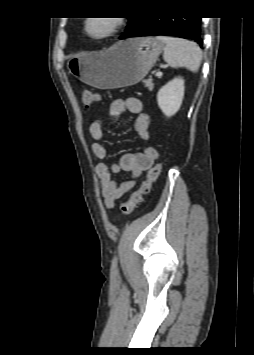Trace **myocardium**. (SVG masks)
I'll list each match as a JSON object with an SVG mask.
<instances>
[{
    "label": "myocardium",
    "mask_w": 254,
    "mask_h": 355,
    "mask_svg": "<svg viewBox=\"0 0 254 355\" xmlns=\"http://www.w3.org/2000/svg\"><path fill=\"white\" fill-rule=\"evenodd\" d=\"M97 19H101L109 24L108 30L101 35H94L89 30L90 23L93 20H97ZM123 22L124 19L118 16H90L87 17V19L84 22V32L91 39H95V40L106 39L116 34L119 31V29L122 27Z\"/></svg>",
    "instance_id": "1"
}]
</instances>
